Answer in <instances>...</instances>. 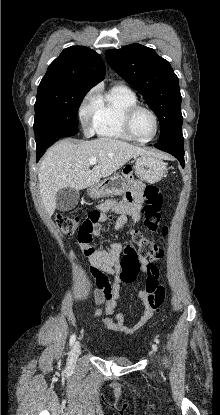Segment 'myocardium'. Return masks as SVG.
Masks as SVG:
<instances>
[{
  "label": "myocardium",
  "mask_w": 220,
  "mask_h": 415,
  "mask_svg": "<svg viewBox=\"0 0 220 415\" xmlns=\"http://www.w3.org/2000/svg\"><path fill=\"white\" fill-rule=\"evenodd\" d=\"M139 110H144L146 112H148L154 119V123H155V131L154 134L148 138V139H139L138 137L135 136L133 130H132V119L135 115V113ZM123 126L124 129L127 133V135L134 141L138 142V143H148L152 140H154L159 132V119L157 114L149 107L144 106V105H140V104H134L132 106H130L124 113V118H123Z\"/></svg>",
  "instance_id": "obj_1"
}]
</instances>
